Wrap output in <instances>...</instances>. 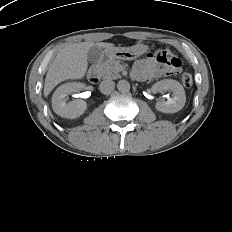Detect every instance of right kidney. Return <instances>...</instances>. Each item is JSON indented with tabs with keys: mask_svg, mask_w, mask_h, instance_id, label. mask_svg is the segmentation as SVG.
Here are the masks:
<instances>
[{
	"mask_svg": "<svg viewBox=\"0 0 232 232\" xmlns=\"http://www.w3.org/2000/svg\"><path fill=\"white\" fill-rule=\"evenodd\" d=\"M84 85L82 83H65L59 86L52 96V108L54 112L69 119L81 116L87 109V104L81 99L67 102V96L71 93L79 92Z\"/></svg>",
	"mask_w": 232,
	"mask_h": 232,
	"instance_id": "ca27d5eb",
	"label": "right kidney"
}]
</instances>
